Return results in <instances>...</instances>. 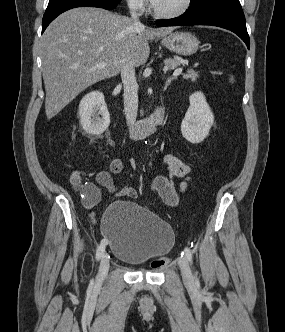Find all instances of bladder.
Segmentation results:
<instances>
[{"label": "bladder", "instance_id": "1", "mask_svg": "<svg viewBox=\"0 0 285 332\" xmlns=\"http://www.w3.org/2000/svg\"><path fill=\"white\" fill-rule=\"evenodd\" d=\"M101 232L112 256L129 265L164 254L174 243L173 231L165 221L129 201H115L106 208Z\"/></svg>", "mask_w": 285, "mask_h": 332}]
</instances>
